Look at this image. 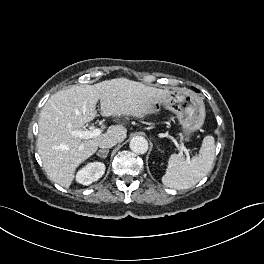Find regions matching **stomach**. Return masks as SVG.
<instances>
[{"label":"stomach","mask_w":264,"mask_h":264,"mask_svg":"<svg viewBox=\"0 0 264 264\" xmlns=\"http://www.w3.org/2000/svg\"><path fill=\"white\" fill-rule=\"evenodd\" d=\"M161 107L172 111L178 118L183 134L189 136L198 130L205 120V105L195 93L185 89H175L162 100L149 103L147 114L159 111Z\"/></svg>","instance_id":"stomach-1"}]
</instances>
